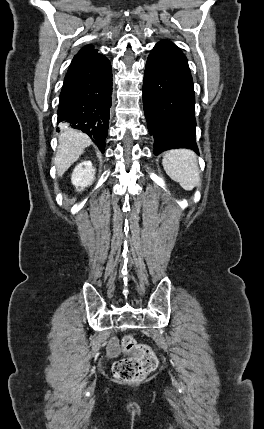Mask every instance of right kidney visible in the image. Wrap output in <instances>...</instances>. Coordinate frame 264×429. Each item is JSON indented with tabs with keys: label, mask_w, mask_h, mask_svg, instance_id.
Wrapping results in <instances>:
<instances>
[{
	"label": "right kidney",
	"mask_w": 264,
	"mask_h": 429,
	"mask_svg": "<svg viewBox=\"0 0 264 429\" xmlns=\"http://www.w3.org/2000/svg\"><path fill=\"white\" fill-rule=\"evenodd\" d=\"M94 174L95 169L91 161H83L74 168L71 176V182L77 189L78 187H81V190H83L85 187L92 184Z\"/></svg>",
	"instance_id": "ca27d5eb"
}]
</instances>
